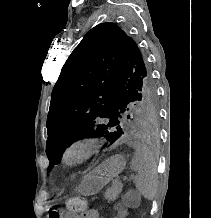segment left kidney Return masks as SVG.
Segmentation results:
<instances>
[{"label": "left kidney", "mask_w": 211, "mask_h": 218, "mask_svg": "<svg viewBox=\"0 0 211 218\" xmlns=\"http://www.w3.org/2000/svg\"><path fill=\"white\" fill-rule=\"evenodd\" d=\"M127 198H120L119 202H114V207H117V210L113 211L114 215H124V218H130L132 215V210L128 206Z\"/></svg>", "instance_id": "obj_1"}]
</instances>
